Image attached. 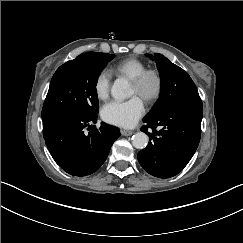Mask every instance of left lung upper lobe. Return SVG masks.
Wrapping results in <instances>:
<instances>
[{"label": "left lung upper lobe", "mask_w": 243, "mask_h": 243, "mask_svg": "<svg viewBox=\"0 0 243 243\" xmlns=\"http://www.w3.org/2000/svg\"><path fill=\"white\" fill-rule=\"evenodd\" d=\"M157 63L161 77V94L155 106L144 117V121L157 118L172 104L182 100H200L198 90L190 76L162 54L149 55Z\"/></svg>", "instance_id": "1"}]
</instances>
